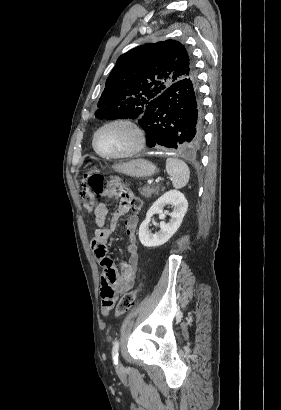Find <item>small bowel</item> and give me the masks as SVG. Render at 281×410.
I'll return each instance as SVG.
<instances>
[{
    "mask_svg": "<svg viewBox=\"0 0 281 410\" xmlns=\"http://www.w3.org/2000/svg\"><path fill=\"white\" fill-rule=\"evenodd\" d=\"M118 180L112 179L109 195L115 192ZM141 206L140 200L132 193L125 192L121 197V202L116 212H114L110 219L109 225L106 226L108 219V208L105 203H99L95 207V223L97 229L91 241L93 254L97 262L102 267L101 276V297L103 302L111 297L114 304L116 298L129 291L134 285V279L138 265V246L136 243V230L138 226V215ZM129 211L133 214L125 219V229L128 236V260L122 262L119 266L107 255V240L115 229L119 219L126 215ZM112 308V307H111ZM110 308V309H111ZM102 307L104 315L109 313Z\"/></svg>",
    "mask_w": 281,
    "mask_h": 410,
    "instance_id": "1",
    "label": "small bowel"
}]
</instances>
